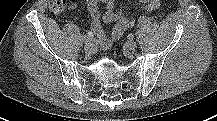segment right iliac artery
I'll return each instance as SVG.
<instances>
[{"mask_svg":"<svg viewBox=\"0 0 217 121\" xmlns=\"http://www.w3.org/2000/svg\"><path fill=\"white\" fill-rule=\"evenodd\" d=\"M83 42H84L85 44H92V45L97 44V41H96L95 39L89 38V37H87V36H84V37H83Z\"/></svg>","mask_w":217,"mask_h":121,"instance_id":"obj_1","label":"right iliac artery"}]
</instances>
